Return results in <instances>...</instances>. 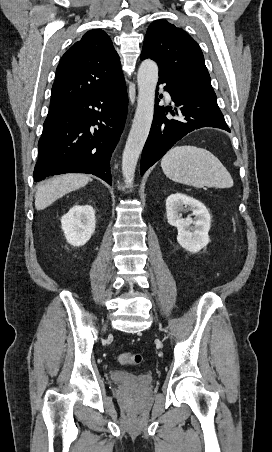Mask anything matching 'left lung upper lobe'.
Here are the masks:
<instances>
[{"mask_svg": "<svg viewBox=\"0 0 272 452\" xmlns=\"http://www.w3.org/2000/svg\"><path fill=\"white\" fill-rule=\"evenodd\" d=\"M140 58L154 60L159 76H173L213 91L198 43L183 29L165 20L154 21L148 27Z\"/></svg>", "mask_w": 272, "mask_h": 452, "instance_id": "left-lung-upper-lobe-1", "label": "left lung upper lobe"}]
</instances>
